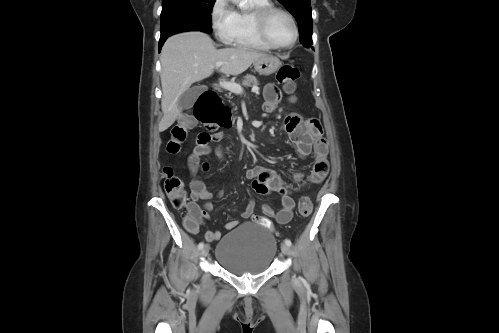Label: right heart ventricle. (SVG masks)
Instances as JSON below:
<instances>
[{"label": "right heart ventricle", "instance_id": "obj_1", "mask_svg": "<svg viewBox=\"0 0 499 333\" xmlns=\"http://www.w3.org/2000/svg\"><path fill=\"white\" fill-rule=\"evenodd\" d=\"M252 9L236 10V24L232 38V45L251 50L268 51L272 48L260 37L254 21L257 10L271 5L270 0H251Z\"/></svg>", "mask_w": 499, "mask_h": 333}]
</instances>
